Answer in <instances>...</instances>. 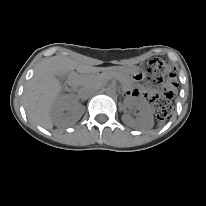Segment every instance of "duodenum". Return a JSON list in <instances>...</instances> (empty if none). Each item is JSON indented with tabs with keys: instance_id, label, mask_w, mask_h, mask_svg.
<instances>
[{
	"instance_id": "410a0bca",
	"label": "duodenum",
	"mask_w": 206,
	"mask_h": 206,
	"mask_svg": "<svg viewBox=\"0 0 206 206\" xmlns=\"http://www.w3.org/2000/svg\"><path fill=\"white\" fill-rule=\"evenodd\" d=\"M76 87V84L74 81H69L68 84H67V88L72 90V89H75Z\"/></svg>"
}]
</instances>
